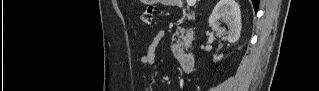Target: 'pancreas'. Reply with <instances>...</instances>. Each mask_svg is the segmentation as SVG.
I'll return each instance as SVG.
<instances>
[{"label":"pancreas","mask_w":319,"mask_h":91,"mask_svg":"<svg viewBox=\"0 0 319 91\" xmlns=\"http://www.w3.org/2000/svg\"><path fill=\"white\" fill-rule=\"evenodd\" d=\"M192 29L180 28V35L177 36V41L172 44L171 52L175 57H179L183 54L187 43L192 39Z\"/></svg>","instance_id":"1"}]
</instances>
